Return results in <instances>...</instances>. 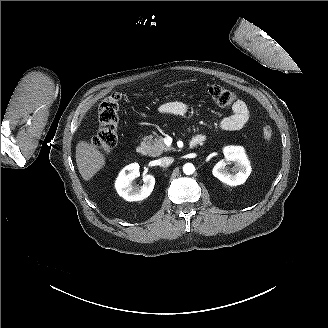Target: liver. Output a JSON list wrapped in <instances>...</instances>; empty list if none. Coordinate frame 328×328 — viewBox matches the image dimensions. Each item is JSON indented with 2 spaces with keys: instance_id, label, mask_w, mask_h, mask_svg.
<instances>
[{
  "instance_id": "6515ba94",
  "label": "liver",
  "mask_w": 328,
  "mask_h": 328,
  "mask_svg": "<svg viewBox=\"0 0 328 328\" xmlns=\"http://www.w3.org/2000/svg\"><path fill=\"white\" fill-rule=\"evenodd\" d=\"M107 156L85 140L76 144V164L85 182L91 181L107 164Z\"/></svg>"
}]
</instances>
